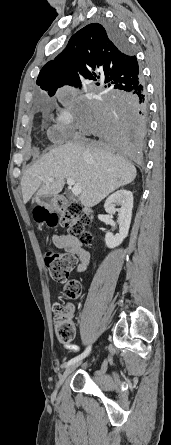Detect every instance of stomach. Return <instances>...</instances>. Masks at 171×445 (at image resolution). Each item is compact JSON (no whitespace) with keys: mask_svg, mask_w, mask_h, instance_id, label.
Instances as JSON below:
<instances>
[{"mask_svg":"<svg viewBox=\"0 0 171 445\" xmlns=\"http://www.w3.org/2000/svg\"><path fill=\"white\" fill-rule=\"evenodd\" d=\"M36 203L45 205L48 209H54L56 206L57 198L55 196H36L33 200Z\"/></svg>","mask_w":171,"mask_h":445,"instance_id":"obj_1","label":"stomach"}]
</instances>
